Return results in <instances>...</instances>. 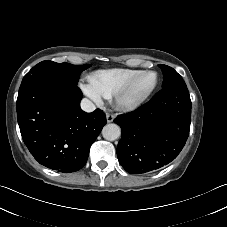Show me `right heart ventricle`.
I'll use <instances>...</instances> for the list:
<instances>
[{
  "label": "right heart ventricle",
  "mask_w": 227,
  "mask_h": 227,
  "mask_svg": "<svg viewBox=\"0 0 227 227\" xmlns=\"http://www.w3.org/2000/svg\"><path fill=\"white\" fill-rule=\"evenodd\" d=\"M140 72L141 70L128 68L99 70L89 77V81L91 87L102 97L111 98Z\"/></svg>",
  "instance_id": "right-heart-ventricle-1"
}]
</instances>
